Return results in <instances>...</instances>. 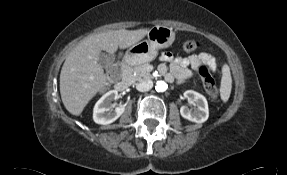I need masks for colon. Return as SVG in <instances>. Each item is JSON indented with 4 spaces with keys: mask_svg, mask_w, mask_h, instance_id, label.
Instances as JSON below:
<instances>
[{
    "mask_svg": "<svg viewBox=\"0 0 287 175\" xmlns=\"http://www.w3.org/2000/svg\"><path fill=\"white\" fill-rule=\"evenodd\" d=\"M198 47H199V43L196 40H186L182 42L181 44L182 51L186 53L193 52L197 50ZM197 70L202 79L203 86L206 92L210 95L212 99H217L218 90L216 88L215 81L210 73L208 65L201 64ZM114 75L117 76V73H115Z\"/></svg>",
    "mask_w": 287,
    "mask_h": 175,
    "instance_id": "obj_1",
    "label": "colon"
}]
</instances>
